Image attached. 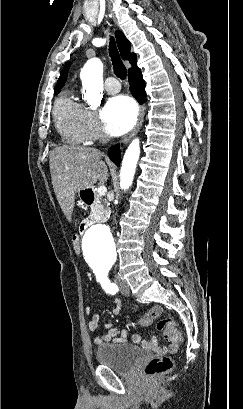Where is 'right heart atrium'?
Segmentation results:
<instances>
[{"label": "right heart atrium", "mask_w": 243, "mask_h": 409, "mask_svg": "<svg viewBox=\"0 0 243 409\" xmlns=\"http://www.w3.org/2000/svg\"><path fill=\"white\" fill-rule=\"evenodd\" d=\"M81 129L83 138L87 142L103 140L105 135L94 111L82 106L80 113Z\"/></svg>", "instance_id": "right-heart-atrium-1"}]
</instances>
